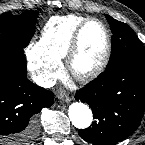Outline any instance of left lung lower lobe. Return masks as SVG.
Segmentation results:
<instances>
[{
  "label": "left lung lower lobe",
  "instance_id": "left-lung-lower-lobe-1",
  "mask_svg": "<svg viewBox=\"0 0 145 145\" xmlns=\"http://www.w3.org/2000/svg\"><path fill=\"white\" fill-rule=\"evenodd\" d=\"M90 105L95 118L79 130L85 141L112 145L130 136L140 125L145 109V68L126 64L106 69L75 94Z\"/></svg>",
  "mask_w": 145,
  "mask_h": 145
}]
</instances>
